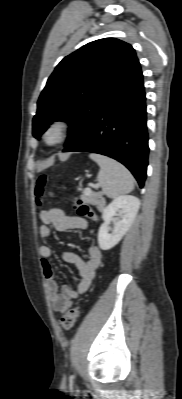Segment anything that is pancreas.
<instances>
[{"label":"pancreas","instance_id":"obj_1","mask_svg":"<svg viewBox=\"0 0 182 399\" xmlns=\"http://www.w3.org/2000/svg\"><path fill=\"white\" fill-rule=\"evenodd\" d=\"M89 198L92 200V202L95 205L101 206V205L104 204V200L101 199V195L100 194H91V195H89ZM99 208H101V207H99Z\"/></svg>","mask_w":182,"mask_h":399}]
</instances>
